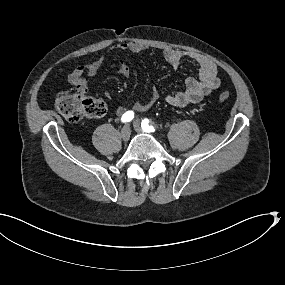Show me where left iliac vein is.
Returning a JSON list of instances; mask_svg holds the SVG:
<instances>
[{
	"label": "left iliac vein",
	"instance_id": "4c4485c4",
	"mask_svg": "<svg viewBox=\"0 0 285 285\" xmlns=\"http://www.w3.org/2000/svg\"><path fill=\"white\" fill-rule=\"evenodd\" d=\"M133 127L134 129L139 132V133H145V131L142 130L141 126H140V120L139 119H136L134 120L133 122Z\"/></svg>",
	"mask_w": 285,
	"mask_h": 285
}]
</instances>
